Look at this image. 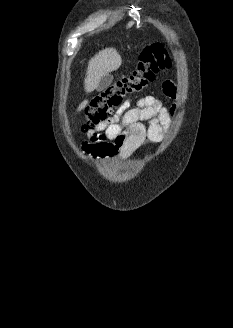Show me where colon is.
<instances>
[{"instance_id":"colon-1","label":"colon","mask_w":233,"mask_h":328,"mask_svg":"<svg viewBox=\"0 0 233 328\" xmlns=\"http://www.w3.org/2000/svg\"><path fill=\"white\" fill-rule=\"evenodd\" d=\"M171 65V58L163 45L157 43L144 47L131 73L118 78L90 100L85 111V128L90 129L106 121L126 96L141 92L154 81L159 71Z\"/></svg>"}]
</instances>
